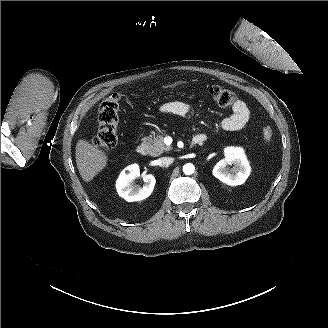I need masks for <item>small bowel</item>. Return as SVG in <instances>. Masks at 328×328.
<instances>
[{
  "label": "small bowel",
  "mask_w": 328,
  "mask_h": 328,
  "mask_svg": "<svg viewBox=\"0 0 328 328\" xmlns=\"http://www.w3.org/2000/svg\"><path fill=\"white\" fill-rule=\"evenodd\" d=\"M191 111V106L181 101H171L160 107L161 113L179 116L188 115ZM249 120L250 110L248 106L244 101L237 100L232 106V114L224 118L220 125L224 130L238 132L247 127Z\"/></svg>",
  "instance_id": "1"
}]
</instances>
